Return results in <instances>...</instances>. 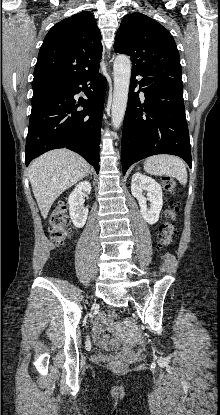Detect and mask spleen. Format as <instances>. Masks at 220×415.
<instances>
[{
    "label": "spleen",
    "mask_w": 220,
    "mask_h": 415,
    "mask_svg": "<svg viewBox=\"0 0 220 415\" xmlns=\"http://www.w3.org/2000/svg\"><path fill=\"white\" fill-rule=\"evenodd\" d=\"M144 169L150 175L170 176L176 178L181 184L187 183V170L182 159L172 155H155L144 162Z\"/></svg>",
    "instance_id": "spleen-1"
}]
</instances>
